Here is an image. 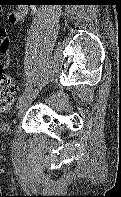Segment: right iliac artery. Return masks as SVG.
Wrapping results in <instances>:
<instances>
[{
    "instance_id": "1",
    "label": "right iliac artery",
    "mask_w": 121,
    "mask_h": 197,
    "mask_svg": "<svg viewBox=\"0 0 121 197\" xmlns=\"http://www.w3.org/2000/svg\"><path fill=\"white\" fill-rule=\"evenodd\" d=\"M31 90H32V83H31V80H28V82L26 83L25 91L23 95L20 97L17 107H19L20 104L29 96Z\"/></svg>"
}]
</instances>
